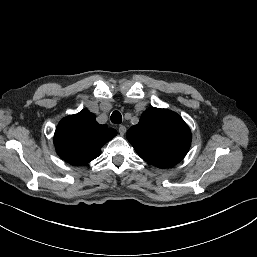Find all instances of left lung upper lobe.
<instances>
[{
  "label": "left lung upper lobe",
  "instance_id": "obj_1",
  "mask_svg": "<svg viewBox=\"0 0 257 257\" xmlns=\"http://www.w3.org/2000/svg\"><path fill=\"white\" fill-rule=\"evenodd\" d=\"M127 139L143 160L168 168L187 154L191 131L175 112L150 108L142 114L139 123L127 131Z\"/></svg>",
  "mask_w": 257,
  "mask_h": 257
}]
</instances>
